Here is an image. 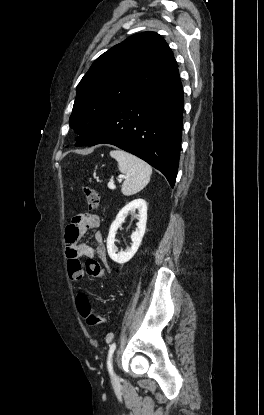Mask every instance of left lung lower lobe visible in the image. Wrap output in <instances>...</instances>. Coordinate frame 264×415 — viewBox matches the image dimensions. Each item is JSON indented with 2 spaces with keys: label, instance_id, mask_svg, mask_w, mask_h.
I'll return each instance as SVG.
<instances>
[{
  "label": "left lung lower lobe",
  "instance_id": "0a47b994",
  "mask_svg": "<svg viewBox=\"0 0 264 415\" xmlns=\"http://www.w3.org/2000/svg\"><path fill=\"white\" fill-rule=\"evenodd\" d=\"M183 106V88L176 68L124 99L81 146L115 145L158 169L174 187Z\"/></svg>",
  "mask_w": 264,
  "mask_h": 415
}]
</instances>
